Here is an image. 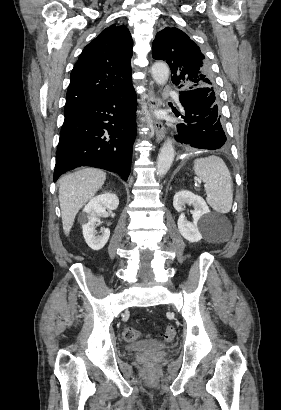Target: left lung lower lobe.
Listing matches in <instances>:
<instances>
[{"label":"left lung lower lobe","instance_id":"1","mask_svg":"<svg viewBox=\"0 0 281 410\" xmlns=\"http://www.w3.org/2000/svg\"><path fill=\"white\" fill-rule=\"evenodd\" d=\"M180 103L185 115L181 116L184 122L177 124L176 140L200 149L221 148L226 142V135L221 126L214 88L181 91Z\"/></svg>","mask_w":281,"mask_h":410}]
</instances>
